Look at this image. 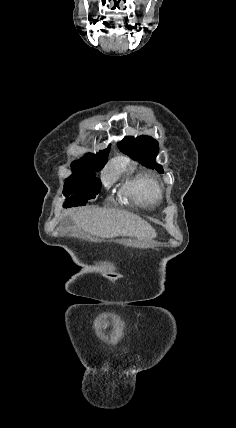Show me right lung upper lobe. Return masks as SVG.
Masks as SVG:
<instances>
[{"instance_id": "1", "label": "right lung upper lobe", "mask_w": 236, "mask_h": 428, "mask_svg": "<svg viewBox=\"0 0 236 428\" xmlns=\"http://www.w3.org/2000/svg\"><path fill=\"white\" fill-rule=\"evenodd\" d=\"M109 148L101 151L97 155L88 153L80 160L74 161L71 164L72 169H88L96 170L103 167L107 160Z\"/></svg>"}]
</instances>
